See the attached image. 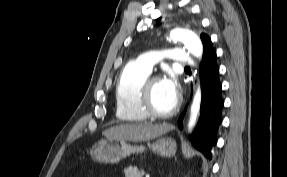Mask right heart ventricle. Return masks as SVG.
Returning <instances> with one entry per match:
<instances>
[{"label": "right heart ventricle", "mask_w": 287, "mask_h": 177, "mask_svg": "<svg viewBox=\"0 0 287 177\" xmlns=\"http://www.w3.org/2000/svg\"><path fill=\"white\" fill-rule=\"evenodd\" d=\"M150 72L139 65L128 64L121 71L115 86V115L122 123H138L147 116L139 107V95Z\"/></svg>", "instance_id": "right-heart-ventricle-1"}]
</instances>
